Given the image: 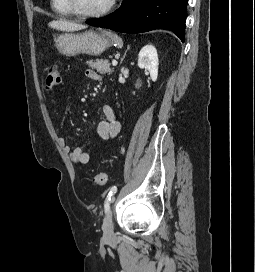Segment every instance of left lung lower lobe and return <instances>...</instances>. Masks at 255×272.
<instances>
[{"label": "left lung lower lobe", "instance_id": "obj_1", "mask_svg": "<svg viewBox=\"0 0 255 272\" xmlns=\"http://www.w3.org/2000/svg\"><path fill=\"white\" fill-rule=\"evenodd\" d=\"M187 2L188 0H123L121 7L114 13L86 23L123 33L166 29L174 32L184 42Z\"/></svg>", "mask_w": 255, "mask_h": 272}]
</instances>
